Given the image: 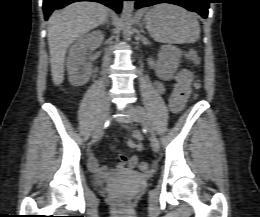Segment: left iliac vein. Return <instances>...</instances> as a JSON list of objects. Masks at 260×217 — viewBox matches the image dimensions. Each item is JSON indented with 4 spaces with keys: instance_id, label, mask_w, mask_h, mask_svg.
Wrapping results in <instances>:
<instances>
[{
    "instance_id": "1",
    "label": "left iliac vein",
    "mask_w": 260,
    "mask_h": 217,
    "mask_svg": "<svg viewBox=\"0 0 260 217\" xmlns=\"http://www.w3.org/2000/svg\"><path fill=\"white\" fill-rule=\"evenodd\" d=\"M125 110L128 114L131 115L132 120L134 122L141 123L144 127L147 128V133L149 134V140H150L151 147L154 152H158L159 147H160L159 141H158L157 137L155 136L154 130L151 127V125L149 124V122L147 120H145L144 116L133 105H128Z\"/></svg>"
}]
</instances>
